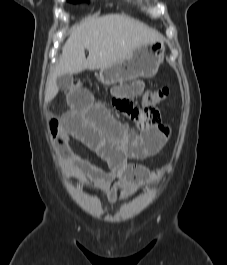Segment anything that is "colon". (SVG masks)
<instances>
[{
  "mask_svg": "<svg viewBox=\"0 0 227 265\" xmlns=\"http://www.w3.org/2000/svg\"><path fill=\"white\" fill-rule=\"evenodd\" d=\"M69 87H81L80 83L75 82ZM67 96H69L68 88L66 90ZM169 95V89L167 87H161L153 91H148L144 94L140 112H125L132 119L137 121L142 128H151L160 124V113L158 105L162 103ZM114 99H127L122 95L120 91H116ZM138 107V106H136ZM50 131L53 137L60 142L61 134V122L52 118L49 122Z\"/></svg>",
  "mask_w": 227,
  "mask_h": 265,
  "instance_id": "5ec220e1",
  "label": "colon"
}]
</instances>
